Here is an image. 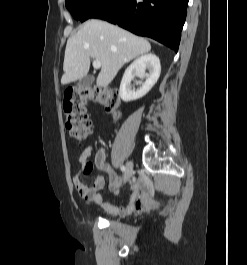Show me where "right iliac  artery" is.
Masks as SVG:
<instances>
[{"instance_id":"right-iliac-artery-1","label":"right iliac artery","mask_w":247,"mask_h":265,"mask_svg":"<svg viewBox=\"0 0 247 265\" xmlns=\"http://www.w3.org/2000/svg\"><path fill=\"white\" fill-rule=\"evenodd\" d=\"M125 166H121V171L124 172L125 171Z\"/></svg>"}]
</instances>
